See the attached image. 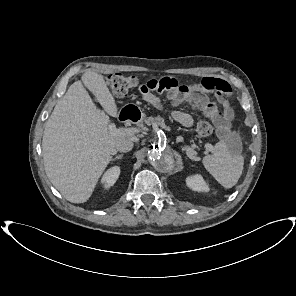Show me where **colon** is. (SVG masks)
I'll list each match as a JSON object with an SVG mask.
<instances>
[{
  "label": "colon",
  "mask_w": 296,
  "mask_h": 296,
  "mask_svg": "<svg viewBox=\"0 0 296 296\" xmlns=\"http://www.w3.org/2000/svg\"><path fill=\"white\" fill-rule=\"evenodd\" d=\"M139 80L134 75H123L120 73L112 74L107 79V85L116 96H125L130 90L134 89ZM205 115L212 121L222 119V109H218L214 104H209L204 110ZM213 126L207 120L199 121L197 124V132L201 136H208L212 133Z\"/></svg>",
  "instance_id": "obj_1"
}]
</instances>
